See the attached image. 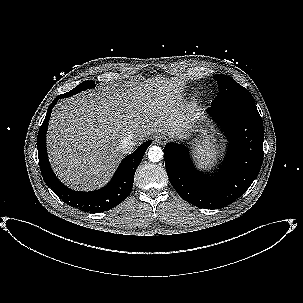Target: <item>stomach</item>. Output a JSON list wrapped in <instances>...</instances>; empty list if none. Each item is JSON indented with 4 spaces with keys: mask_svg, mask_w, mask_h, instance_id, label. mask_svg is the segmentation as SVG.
<instances>
[{
    "mask_svg": "<svg viewBox=\"0 0 303 303\" xmlns=\"http://www.w3.org/2000/svg\"><path fill=\"white\" fill-rule=\"evenodd\" d=\"M196 152L200 164L207 168L211 167L216 160V150L213 142L209 138L196 142Z\"/></svg>",
    "mask_w": 303,
    "mask_h": 303,
    "instance_id": "1",
    "label": "stomach"
}]
</instances>
